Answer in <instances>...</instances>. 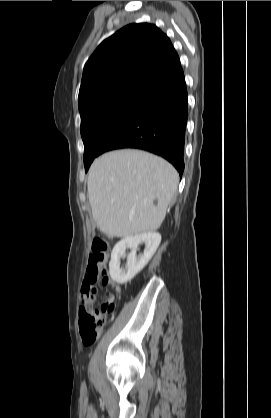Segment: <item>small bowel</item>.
<instances>
[{
  "label": "small bowel",
  "mask_w": 271,
  "mask_h": 418,
  "mask_svg": "<svg viewBox=\"0 0 271 418\" xmlns=\"http://www.w3.org/2000/svg\"><path fill=\"white\" fill-rule=\"evenodd\" d=\"M105 285H108V286H110V287H112L113 289H115L116 291H119V287H118V285L116 284V283H114L113 281H111V280H108L107 282H105L104 283ZM88 288H91V286L88 284V282H87V278L85 277V281H84V283H83V285H82V295H84V293H85V291L88 289ZM94 302H95V300H93L92 302H91V305H93L94 304Z\"/></svg>",
  "instance_id": "small-bowel-1"
}]
</instances>
